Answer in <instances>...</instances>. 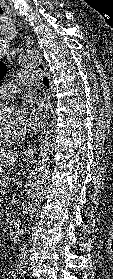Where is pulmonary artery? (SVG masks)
Returning <instances> with one entry per match:
<instances>
[{
  "label": "pulmonary artery",
  "instance_id": "pulmonary-artery-1",
  "mask_svg": "<svg viewBox=\"0 0 113 279\" xmlns=\"http://www.w3.org/2000/svg\"><path fill=\"white\" fill-rule=\"evenodd\" d=\"M37 76H33L29 73H19L16 76V80H18L20 83V87L22 88H30L32 82L34 79H36ZM19 87L16 86L14 83H9L4 85L0 89V93L4 95L5 97H10L13 94H15L18 91Z\"/></svg>",
  "mask_w": 113,
  "mask_h": 279
}]
</instances>
